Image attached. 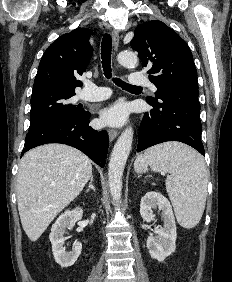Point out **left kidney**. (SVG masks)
<instances>
[{"instance_id": "left-kidney-1", "label": "left kidney", "mask_w": 232, "mask_h": 282, "mask_svg": "<svg viewBox=\"0 0 232 282\" xmlns=\"http://www.w3.org/2000/svg\"><path fill=\"white\" fill-rule=\"evenodd\" d=\"M158 207L163 211V227H155L154 233H151L147 239L146 246L150 256L153 259L162 262L166 257L171 255L176 249V225L172 207L166 197L156 191L147 192L141 199L140 214L146 222L154 220L155 215L152 209Z\"/></svg>"}]
</instances>
